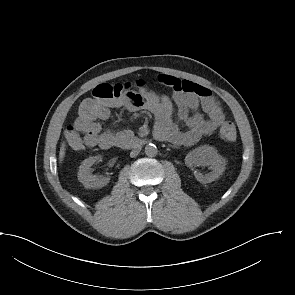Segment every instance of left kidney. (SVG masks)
<instances>
[{
  "label": "left kidney",
  "instance_id": "1",
  "mask_svg": "<svg viewBox=\"0 0 295 295\" xmlns=\"http://www.w3.org/2000/svg\"><path fill=\"white\" fill-rule=\"evenodd\" d=\"M185 164L188 167L193 166H210L212 171L207 175H202L201 173H195L196 179L200 183H211L217 179L225 170V161L222 156L218 153L216 148L203 145L195 148L193 151L189 152L185 157Z\"/></svg>",
  "mask_w": 295,
  "mask_h": 295
}]
</instances>
